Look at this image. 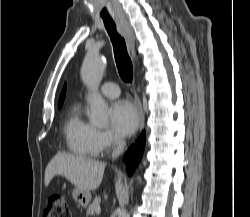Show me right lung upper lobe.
<instances>
[{"label":"right lung upper lobe","instance_id":"cb5924a9","mask_svg":"<svg viewBox=\"0 0 250 217\" xmlns=\"http://www.w3.org/2000/svg\"><path fill=\"white\" fill-rule=\"evenodd\" d=\"M65 93H66V84L64 85V88H63L62 93H61L60 98H59V102H58V107L59 108L63 104L64 98H65Z\"/></svg>","mask_w":250,"mask_h":217}]
</instances>
